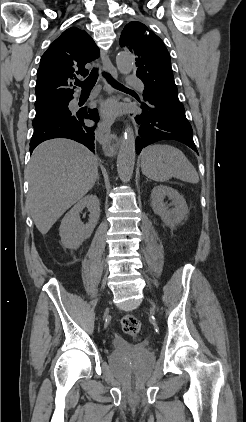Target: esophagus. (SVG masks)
Listing matches in <instances>:
<instances>
[{
	"label": "esophagus",
	"mask_w": 246,
	"mask_h": 422,
	"mask_svg": "<svg viewBox=\"0 0 246 422\" xmlns=\"http://www.w3.org/2000/svg\"><path fill=\"white\" fill-rule=\"evenodd\" d=\"M101 59L103 63L104 70L110 73L113 77H117V71L114 65L112 64L109 56L102 52ZM107 91L111 93L112 88L106 84ZM114 123L112 118H104L98 125L97 129V139L103 145V149L107 154H112L117 146L119 145L118 138L112 133L111 127Z\"/></svg>",
	"instance_id": "34e87169"
}]
</instances>
